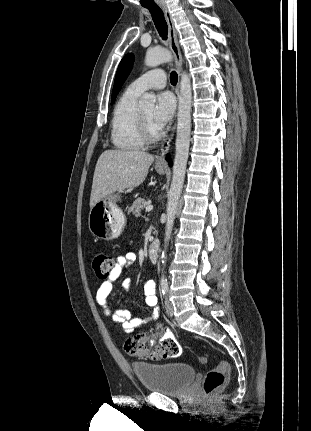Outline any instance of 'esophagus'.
I'll use <instances>...</instances> for the list:
<instances>
[{
    "label": "esophagus",
    "instance_id": "esophagus-1",
    "mask_svg": "<svg viewBox=\"0 0 311 431\" xmlns=\"http://www.w3.org/2000/svg\"><path fill=\"white\" fill-rule=\"evenodd\" d=\"M160 7H161V10H163L164 17H165V20H166L167 25H168L169 47L172 50V53L175 57L176 65L178 67L179 80H178V84H177L176 91H175L176 96H177V100H178L179 96H180L179 89H180V72H181V66H182V55H181L179 44L177 41L172 15H171L166 4H160ZM175 131H176V123H174V125L171 129V133H170L169 137L166 138L160 146V154L156 160V164L166 165L165 156L168 153V151L170 150V147L173 143Z\"/></svg>",
    "mask_w": 311,
    "mask_h": 431
}]
</instances>
